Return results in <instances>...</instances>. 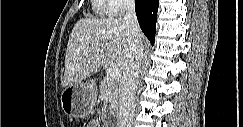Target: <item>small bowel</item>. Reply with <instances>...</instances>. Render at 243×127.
I'll return each mask as SVG.
<instances>
[{"mask_svg":"<svg viewBox=\"0 0 243 127\" xmlns=\"http://www.w3.org/2000/svg\"><path fill=\"white\" fill-rule=\"evenodd\" d=\"M88 127H99V124L97 121H91L89 124H88Z\"/></svg>","mask_w":243,"mask_h":127,"instance_id":"1","label":"small bowel"}]
</instances>
